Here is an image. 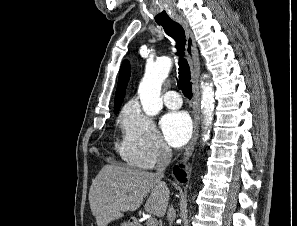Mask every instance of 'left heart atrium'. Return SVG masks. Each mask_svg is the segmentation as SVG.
I'll use <instances>...</instances> for the list:
<instances>
[{
  "label": "left heart atrium",
  "instance_id": "obj_1",
  "mask_svg": "<svg viewBox=\"0 0 297 226\" xmlns=\"http://www.w3.org/2000/svg\"><path fill=\"white\" fill-rule=\"evenodd\" d=\"M165 140L173 147H181L191 136L192 124L184 112H170L160 121Z\"/></svg>",
  "mask_w": 297,
  "mask_h": 226
}]
</instances>
